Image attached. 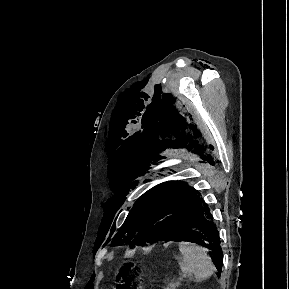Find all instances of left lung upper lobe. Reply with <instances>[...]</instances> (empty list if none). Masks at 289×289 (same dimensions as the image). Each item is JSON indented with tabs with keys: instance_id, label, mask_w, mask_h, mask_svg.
I'll list each match as a JSON object with an SVG mask.
<instances>
[{
	"instance_id": "1",
	"label": "left lung upper lobe",
	"mask_w": 289,
	"mask_h": 289,
	"mask_svg": "<svg viewBox=\"0 0 289 289\" xmlns=\"http://www.w3.org/2000/svg\"><path fill=\"white\" fill-rule=\"evenodd\" d=\"M187 187L186 183L166 182L144 193L134 204L112 246L129 244L130 247L154 242L163 235L168 214L166 209L174 197Z\"/></svg>"
}]
</instances>
